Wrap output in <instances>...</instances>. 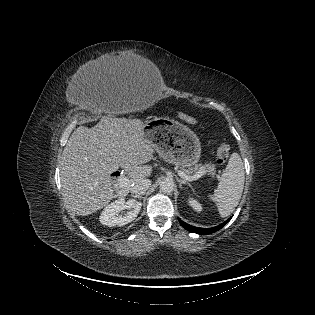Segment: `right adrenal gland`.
<instances>
[{
  "instance_id": "right-adrenal-gland-1",
  "label": "right adrenal gland",
  "mask_w": 315,
  "mask_h": 315,
  "mask_svg": "<svg viewBox=\"0 0 315 315\" xmlns=\"http://www.w3.org/2000/svg\"><path fill=\"white\" fill-rule=\"evenodd\" d=\"M134 198H137V199H141L143 198V195H132Z\"/></svg>"
}]
</instances>
